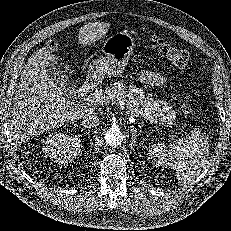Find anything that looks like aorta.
<instances>
[{"instance_id":"obj_1","label":"aorta","mask_w":231,"mask_h":231,"mask_svg":"<svg viewBox=\"0 0 231 231\" xmlns=\"http://www.w3.org/2000/svg\"><path fill=\"white\" fill-rule=\"evenodd\" d=\"M105 143L111 147H118L123 142V134L117 127L108 129L104 134Z\"/></svg>"}]
</instances>
